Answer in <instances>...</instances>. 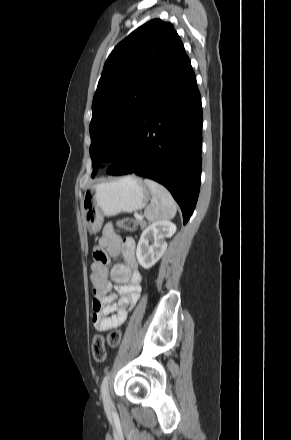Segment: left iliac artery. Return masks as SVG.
<instances>
[{"instance_id":"obj_1","label":"left iliac artery","mask_w":291,"mask_h":440,"mask_svg":"<svg viewBox=\"0 0 291 440\" xmlns=\"http://www.w3.org/2000/svg\"><path fill=\"white\" fill-rule=\"evenodd\" d=\"M109 379H110V372H108L101 383V395L103 398V402L105 405H110L111 404V398L109 395V388H108V384H109Z\"/></svg>"}]
</instances>
